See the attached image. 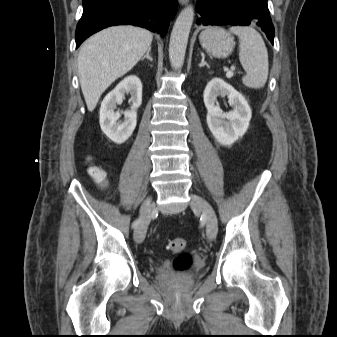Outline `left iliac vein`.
Masks as SVG:
<instances>
[{
	"label": "left iliac vein",
	"instance_id": "4c4485c4",
	"mask_svg": "<svg viewBox=\"0 0 337 337\" xmlns=\"http://www.w3.org/2000/svg\"><path fill=\"white\" fill-rule=\"evenodd\" d=\"M191 208L194 211L203 213L206 220V234L209 240L215 239L218 231V222L215 211L212 206L202 197L196 194H190Z\"/></svg>",
	"mask_w": 337,
	"mask_h": 337
}]
</instances>
